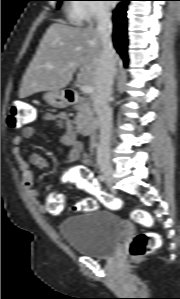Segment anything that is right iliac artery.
Listing matches in <instances>:
<instances>
[{
  "label": "right iliac artery",
  "instance_id": "obj_1",
  "mask_svg": "<svg viewBox=\"0 0 180 299\" xmlns=\"http://www.w3.org/2000/svg\"><path fill=\"white\" fill-rule=\"evenodd\" d=\"M98 178L100 181H105V179H106L104 175H99Z\"/></svg>",
  "mask_w": 180,
  "mask_h": 299
}]
</instances>
